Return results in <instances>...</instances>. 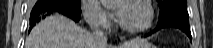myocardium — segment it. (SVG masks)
Segmentation results:
<instances>
[{
    "mask_svg": "<svg viewBox=\"0 0 213 48\" xmlns=\"http://www.w3.org/2000/svg\"><path fill=\"white\" fill-rule=\"evenodd\" d=\"M125 2L126 3H138V4L145 6L147 11H148V19H147V22L145 23V25H143L142 27L129 28L119 18L118 19L119 28L123 32L128 33V34H140V33L145 32L146 30H148L152 26V23H153V20H154V9H153L150 1H148V0H127Z\"/></svg>",
    "mask_w": 213,
    "mask_h": 48,
    "instance_id": "obj_1",
    "label": "myocardium"
}]
</instances>
